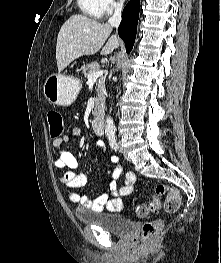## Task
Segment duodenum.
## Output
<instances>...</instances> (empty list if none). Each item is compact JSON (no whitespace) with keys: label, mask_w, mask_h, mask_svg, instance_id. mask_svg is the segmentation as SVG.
<instances>
[{"label":"duodenum","mask_w":221,"mask_h":263,"mask_svg":"<svg viewBox=\"0 0 221 263\" xmlns=\"http://www.w3.org/2000/svg\"><path fill=\"white\" fill-rule=\"evenodd\" d=\"M92 128L96 134H103L105 129L104 117L98 116L94 118L92 121Z\"/></svg>","instance_id":"1"}]
</instances>
